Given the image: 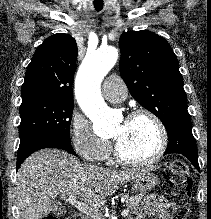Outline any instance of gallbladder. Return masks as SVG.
I'll use <instances>...</instances> for the list:
<instances>
[{
    "label": "gallbladder",
    "instance_id": "obj_1",
    "mask_svg": "<svg viewBox=\"0 0 211 219\" xmlns=\"http://www.w3.org/2000/svg\"><path fill=\"white\" fill-rule=\"evenodd\" d=\"M52 211H53L54 213L58 214V215H63V214L66 213L65 208H64L63 205H62L61 203H59V202L54 203V204L52 205Z\"/></svg>",
    "mask_w": 211,
    "mask_h": 219
}]
</instances>
